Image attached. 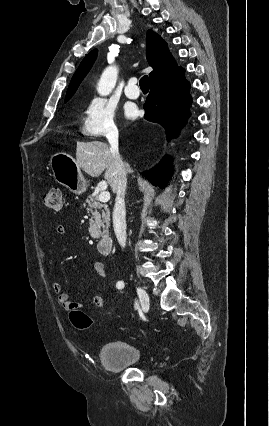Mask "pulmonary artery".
Segmentation results:
<instances>
[{
    "instance_id": "pulmonary-artery-1",
    "label": "pulmonary artery",
    "mask_w": 269,
    "mask_h": 426,
    "mask_svg": "<svg viewBox=\"0 0 269 426\" xmlns=\"http://www.w3.org/2000/svg\"><path fill=\"white\" fill-rule=\"evenodd\" d=\"M125 94L130 99H136L140 96L136 78L132 77L128 80L127 86L125 87Z\"/></svg>"
}]
</instances>
